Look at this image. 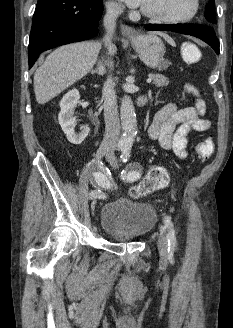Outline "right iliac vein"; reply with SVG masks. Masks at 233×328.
Listing matches in <instances>:
<instances>
[{"instance_id": "right-iliac-vein-1", "label": "right iliac vein", "mask_w": 233, "mask_h": 328, "mask_svg": "<svg viewBox=\"0 0 233 328\" xmlns=\"http://www.w3.org/2000/svg\"><path fill=\"white\" fill-rule=\"evenodd\" d=\"M109 153V148L107 147H104V146H101L97 152H96V159L97 160H100L101 158H103L104 156H106L107 154ZM95 207H96V201L94 200L92 203H91V210H92V213L94 214V211H95Z\"/></svg>"}]
</instances>
